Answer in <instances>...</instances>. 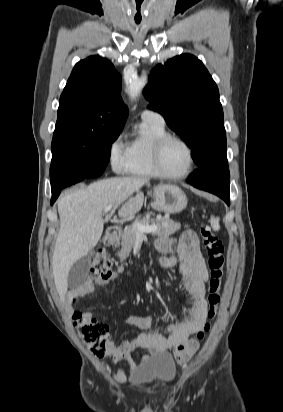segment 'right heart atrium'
<instances>
[{"label": "right heart atrium", "mask_w": 283, "mask_h": 412, "mask_svg": "<svg viewBox=\"0 0 283 412\" xmlns=\"http://www.w3.org/2000/svg\"><path fill=\"white\" fill-rule=\"evenodd\" d=\"M109 158L115 171H123L127 158V146L122 133L112 140L109 146Z\"/></svg>", "instance_id": "1"}]
</instances>
